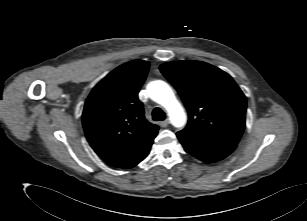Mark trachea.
<instances>
[{
	"label": "trachea",
	"mask_w": 307,
	"mask_h": 221,
	"mask_svg": "<svg viewBox=\"0 0 307 221\" xmlns=\"http://www.w3.org/2000/svg\"><path fill=\"white\" fill-rule=\"evenodd\" d=\"M166 117L165 113L163 112L162 109L160 108H155L153 111H152V118L153 120L155 121H162L164 120Z\"/></svg>",
	"instance_id": "trachea-1"
}]
</instances>
